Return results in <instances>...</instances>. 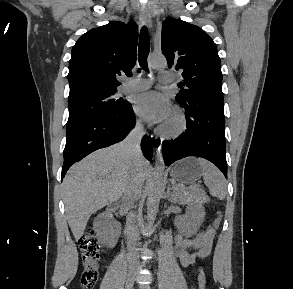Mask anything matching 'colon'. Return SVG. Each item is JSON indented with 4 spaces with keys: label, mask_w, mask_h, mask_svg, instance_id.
<instances>
[{
    "label": "colon",
    "mask_w": 293,
    "mask_h": 289,
    "mask_svg": "<svg viewBox=\"0 0 293 289\" xmlns=\"http://www.w3.org/2000/svg\"><path fill=\"white\" fill-rule=\"evenodd\" d=\"M221 224V215L218 214L213 221L214 228H218ZM79 249L82 255L83 273L81 276L82 289H94L99 277V260L100 246L96 239L95 232L90 230L86 235L82 236L78 241ZM205 274L200 273L198 276V287L204 289Z\"/></svg>",
    "instance_id": "5ec220e1"
}]
</instances>
